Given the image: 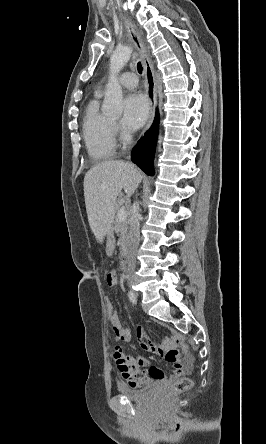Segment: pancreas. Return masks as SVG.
<instances>
[{
	"mask_svg": "<svg viewBox=\"0 0 266 444\" xmlns=\"http://www.w3.org/2000/svg\"><path fill=\"white\" fill-rule=\"evenodd\" d=\"M116 210H117V214H118L120 207L117 206ZM128 223H129V218H128L127 213L123 219H119L118 216L115 217L114 229H115L116 233H120L123 244L125 243L126 238H127Z\"/></svg>",
	"mask_w": 266,
	"mask_h": 444,
	"instance_id": "obj_1",
	"label": "pancreas"
}]
</instances>
